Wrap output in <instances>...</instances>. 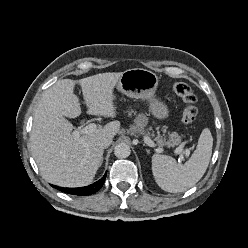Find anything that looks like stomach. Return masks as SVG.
Returning <instances> with one entry per match:
<instances>
[{"label":"stomach","instance_id":"obj_1","mask_svg":"<svg viewBox=\"0 0 248 248\" xmlns=\"http://www.w3.org/2000/svg\"><path fill=\"white\" fill-rule=\"evenodd\" d=\"M157 86L158 76L143 68L124 71L117 83L119 91L129 97L146 100L151 114L158 119H165L169 116V109L162 100L156 97ZM136 123H139V120Z\"/></svg>","mask_w":248,"mask_h":248}]
</instances>
